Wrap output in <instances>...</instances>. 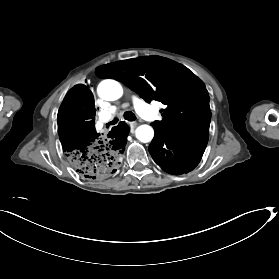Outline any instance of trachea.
Returning a JSON list of instances; mask_svg holds the SVG:
<instances>
[{
  "instance_id": "obj_1",
  "label": "trachea",
  "mask_w": 279,
  "mask_h": 279,
  "mask_svg": "<svg viewBox=\"0 0 279 279\" xmlns=\"http://www.w3.org/2000/svg\"><path fill=\"white\" fill-rule=\"evenodd\" d=\"M124 118L128 121H134L136 119L135 115L133 112L131 111H127L124 113ZM113 123L115 124L116 121H113Z\"/></svg>"
}]
</instances>
